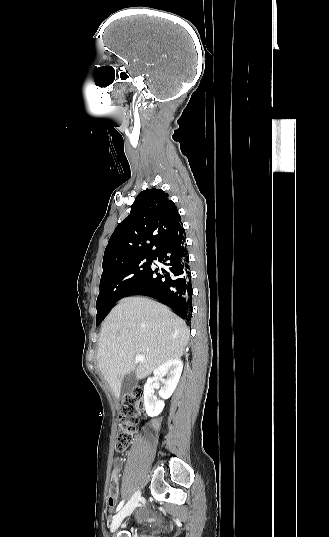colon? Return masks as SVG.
<instances>
[{
    "instance_id": "colon-1",
    "label": "colon",
    "mask_w": 329,
    "mask_h": 537,
    "mask_svg": "<svg viewBox=\"0 0 329 537\" xmlns=\"http://www.w3.org/2000/svg\"><path fill=\"white\" fill-rule=\"evenodd\" d=\"M143 392L140 388H135L131 393L125 396L121 409V427L115 436V451L122 453L127 450L131 444L133 435L138 423V415L142 405ZM110 489L109 495L113 492Z\"/></svg>"
}]
</instances>
